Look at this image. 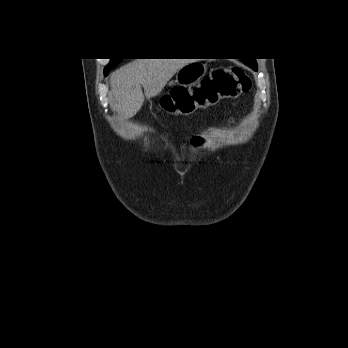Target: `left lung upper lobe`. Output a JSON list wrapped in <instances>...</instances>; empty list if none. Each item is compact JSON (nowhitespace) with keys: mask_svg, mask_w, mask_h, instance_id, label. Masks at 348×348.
I'll list each match as a JSON object with an SVG mask.
<instances>
[{"mask_svg":"<svg viewBox=\"0 0 348 348\" xmlns=\"http://www.w3.org/2000/svg\"><path fill=\"white\" fill-rule=\"evenodd\" d=\"M247 66L251 67L253 70L257 71V63L255 59L242 60Z\"/></svg>","mask_w":348,"mask_h":348,"instance_id":"1","label":"left lung upper lobe"}]
</instances>
